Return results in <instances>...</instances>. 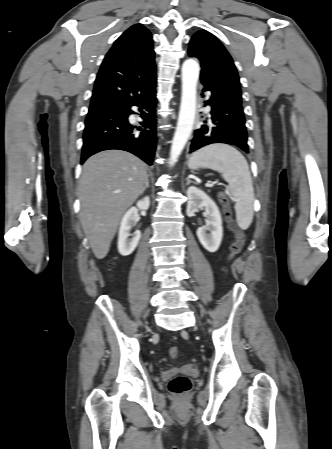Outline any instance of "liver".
<instances>
[{
    "label": "liver",
    "instance_id": "1",
    "mask_svg": "<svg viewBox=\"0 0 332 449\" xmlns=\"http://www.w3.org/2000/svg\"><path fill=\"white\" fill-rule=\"evenodd\" d=\"M146 179L145 163L125 151H102L84 163L80 221L96 258L108 254L123 214L142 193Z\"/></svg>",
    "mask_w": 332,
    "mask_h": 449
}]
</instances>
